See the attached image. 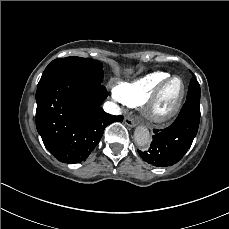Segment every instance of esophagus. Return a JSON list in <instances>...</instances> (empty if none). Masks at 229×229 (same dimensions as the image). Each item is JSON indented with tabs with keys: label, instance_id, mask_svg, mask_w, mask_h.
<instances>
[{
	"label": "esophagus",
	"instance_id": "1",
	"mask_svg": "<svg viewBox=\"0 0 229 229\" xmlns=\"http://www.w3.org/2000/svg\"><path fill=\"white\" fill-rule=\"evenodd\" d=\"M124 122L126 125H128L131 128H134L137 125L136 119L131 116L125 117Z\"/></svg>",
	"mask_w": 229,
	"mask_h": 229
}]
</instances>
